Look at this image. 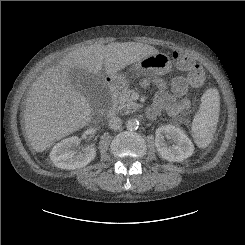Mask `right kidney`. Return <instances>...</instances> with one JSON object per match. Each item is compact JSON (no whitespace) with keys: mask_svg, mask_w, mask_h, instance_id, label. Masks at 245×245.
Wrapping results in <instances>:
<instances>
[{"mask_svg":"<svg viewBox=\"0 0 245 245\" xmlns=\"http://www.w3.org/2000/svg\"><path fill=\"white\" fill-rule=\"evenodd\" d=\"M80 139L72 136L57 143L50 153V159L54 165L61 169L73 170L88 165L96 156L95 148L76 152L75 146H78Z\"/></svg>","mask_w":245,"mask_h":245,"instance_id":"right-kidney-1","label":"right kidney"}]
</instances>
